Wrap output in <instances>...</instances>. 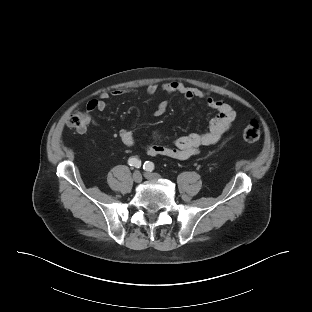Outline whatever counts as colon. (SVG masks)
Returning a JSON list of instances; mask_svg holds the SVG:
<instances>
[{"mask_svg":"<svg viewBox=\"0 0 312 312\" xmlns=\"http://www.w3.org/2000/svg\"><path fill=\"white\" fill-rule=\"evenodd\" d=\"M89 124V117L85 112L75 111L67 119V125L77 131H83ZM261 135V127L257 120H251L242 130L244 141L252 143L257 141Z\"/></svg>","mask_w":312,"mask_h":312,"instance_id":"colon-1","label":"colon"}]
</instances>
